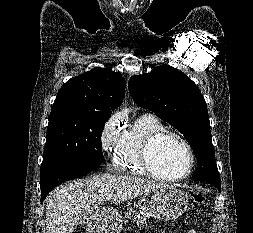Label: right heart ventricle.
<instances>
[{"label": "right heart ventricle", "instance_id": "e07e8e85", "mask_svg": "<svg viewBox=\"0 0 253 233\" xmlns=\"http://www.w3.org/2000/svg\"><path fill=\"white\" fill-rule=\"evenodd\" d=\"M165 130L161 121L152 114H143L125 128L114 148L112 163L116 170L133 175L147 176L141 164V151L152 134Z\"/></svg>", "mask_w": 253, "mask_h": 233}]
</instances>
